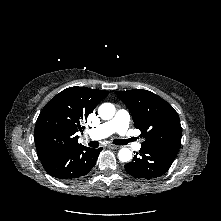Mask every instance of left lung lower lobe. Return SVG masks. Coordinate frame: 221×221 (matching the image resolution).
<instances>
[{"mask_svg":"<svg viewBox=\"0 0 221 221\" xmlns=\"http://www.w3.org/2000/svg\"><path fill=\"white\" fill-rule=\"evenodd\" d=\"M176 155L167 150L141 145L139 154L137 153L133 160L124 167L131 176L150 180L165 174Z\"/></svg>","mask_w":221,"mask_h":221,"instance_id":"obj_1","label":"left lung lower lobe"}]
</instances>
